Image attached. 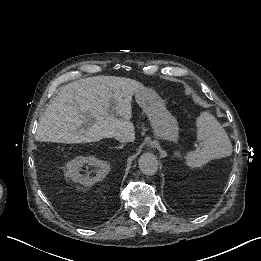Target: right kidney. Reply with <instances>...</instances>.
I'll return each mask as SVG.
<instances>
[{
    "mask_svg": "<svg viewBox=\"0 0 261 261\" xmlns=\"http://www.w3.org/2000/svg\"><path fill=\"white\" fill-rule=\"evenodd\" d=\"M96 167V176L85 177L79 173V169L84 165ZM67 171L65 175L74 182H78L84 186H93L95 183L103 180L110 171V165L104 161L97 159L94 156L83 157L79 156L67 163Z\"/></svg>",
    "mask_w": 261,
    "mask_h": 261,
    "instance_id": "right-kidney-1",
    "label": "right kidney"
}]
</instances>
